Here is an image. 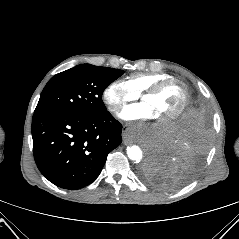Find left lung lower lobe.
Returning a JSON list of instances; mask_svg holds the SVG:
<instances>
[{
  "mask_svg": "<svg viewBox=\"0 0 239 239\" xmlns=\"http://www.w3.org/2000/svg\"><path fill=\"white\" fill-rule=\"evenodd\" d=\"M208 146V113L194 100L170 132L151 149L144 176L152 185L165 190L186 184L197 173Z\"/></svg>",
  "mask_w": 239,
  "mask_h": 239,
  "instance_id": "left-lung-lower-lobe-1",
  "label": "left lung lower lobe"
}]
</instances>
